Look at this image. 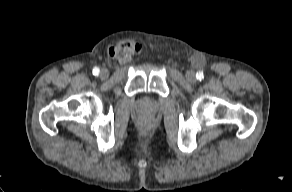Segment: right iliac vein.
<instances>
[{"label": "right iliac vein", "mask_w": 292, "mask_h": 192, "mask_svg": "<svg viewBox=\"0 0 292 192\" xmlns=\"http://www.w3.org/2000/svg\"><path fill=\"white\" fill-rule=\"evenodd\" d=\"M108 75H109V73H108V71H107L106 69H102V70L100 71V77H101L102 79L107 78Z\"/></svg>", "instance_id": "63e3f726"}]
</instances>
